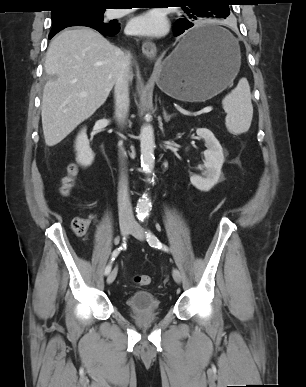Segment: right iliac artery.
I'll return each instance as SVG.
<instances>
[{
  "label": "right iliac artery",
  "instance_id": "obj_1",
  "mask_svg": "<svg viewBox=\"0 0 306 387\" xmlns=\"http://www.w3.org/2000/svg\"><path fill=\"white\" fill-rule=\"evenodd\" d=\"M122 247H125V244L117 249H115L112 253V256H111V261L110 263L106 266L105 268V274H109V272L111 271V268H112V262L115 260V258L118 256V254L120 253V251L122 250Z\"/></svg>",
  "mask_w": 306,
  "mask_h": 387
}]
</instances>
